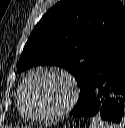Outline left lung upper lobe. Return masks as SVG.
Here are the masks:
<instances>
[{"mask_svg": "<svg viewBox=\"0 0 125 128\" xmlns=\"http://www.w3.org/2000/svg\"><path fill=\"white\" fill-rule=\"evenodd\" d=\"M125 29L120 0H61L32 31L17 71L56 65L75 77L80 92L108 46Z\"/></svg>", "mask_w": 125, "mask_h": 128, "instance_id": "left-lung-upper-lobe-1", "label": "left lung upper lobe"}]
</instances>
